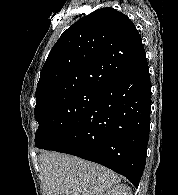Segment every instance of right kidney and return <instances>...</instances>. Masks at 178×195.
<instances>
[{"label": "right kidney", "instance_id": "right-kidney-1", "mask_svg": "<svg viewBox=\"0 0 178 195\" xmlns=\"http://www.w3.org/2000/svg\"><path fill=\"white\" fill-rule=\"evenodd\" d=\"M104 195H132L131 189L124 184H117L109 188Z\"/></svg>", "mask_w": 178, "mask_h": 195}]
</instances>
